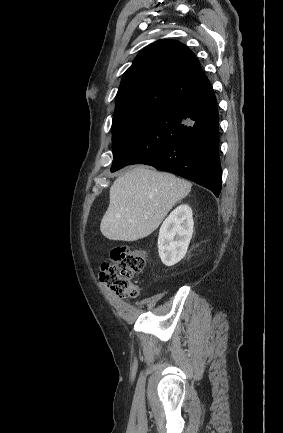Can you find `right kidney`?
Segmentation results:
<instances>
[{
  "instance_id": "ca27d5eb",
  "label": "right kidney",
  "mask_w": 283,
  "mask_h": 433,
  "mask_svg": "<svg viewBox=\"0 0 283 433\" xmlns=\"http://www.w3.org/2000/svg\"><path fill=\"white\" fill-rule=\"evenodd\" d=\"M192 209L187 204L179 205L161 225L158 251L166 266H173L184 258L193 234Z\"/></svg>"
}]
</instances>
